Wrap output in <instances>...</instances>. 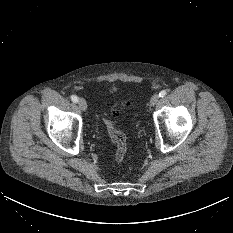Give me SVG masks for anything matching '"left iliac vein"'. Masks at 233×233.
Listing matches in <instances>:
<instances>
[{"label":"left iliac vein","instance_id":"left-iliac-vein-1","mask_svg":"<svg viewBox=\"0 0 233 233\" xmlns=\"http://www.w3.org/2000/svg\"><path fill=\"white\" fill-rule=\"evenodd\" d=\"M159 101V95L158 94H154L151 99H150V105L154 106L158 103Z\"/></svg>","mask_w":233,"mask_h":233}]
</instances>
